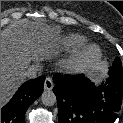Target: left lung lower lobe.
I'll return each mask as SVG.
<instances>
[{
  "instance_id": "0a47b994",
  "label": "left lung lower lobe",
  "mask_w": 123,
  "mask_h": 123,
  "mask_svg": "<svg viewBox=\"0 0 123 123\" xmlns=\"http://www.w3.org/2000/svg\"><path fill=\"white\" fill-rule=\"evenodd\" d=\"M59 123H113L122 103L123 80L109 76L98 87L85 76L53 77Z\"/></svg>"
}]
</instances>
